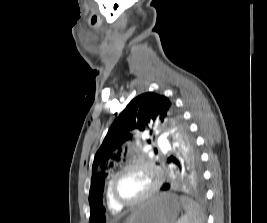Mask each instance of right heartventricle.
I'll return each instance as SVG.
<instances>
[{
  "instance_id": "e07e8e85",
  "label": "right heart ventricle",
  "mask_w": 267,
  "mask_h": 223,
  "mask_svg": "<svg viewBox=\"0 0 267 223\" xmlns=\"http://www.w3.org/2000/svg\"><path fill=\"white\" fill-rule=\"evenodd\" d=\"M106 204L108 208L113 212V213H118L121 211V207L115 204V202L112 200L109 192V184L106 189Z\"/></svg>"
}]
</instances>
